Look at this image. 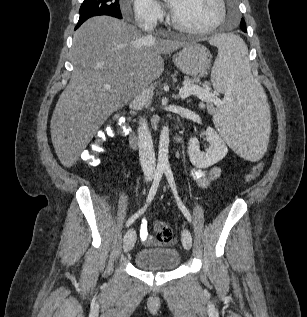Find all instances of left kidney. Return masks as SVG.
<instances>
[{
    "instance_id": "obj_1",
    "label": "left kidney",
    "mask_w": 307,
    "mask_h": 317,
    "mask_svg": "<svg viewBox=\"0 0 307 317\" xmlns=\"http://www.w3.org/2000/svg\"><path fill=\"white\" fill-rule=\"evenodd\" d=\"M202 134L206 136L209 142L206 152L200 151L199 141L196 137H193L189 142L188 153L190 161L194 166L208 168L222 160L226 156L228 148L224 140L213 128L208 127Z\"/></svg>"
}]
</instances>
